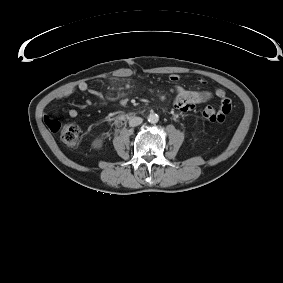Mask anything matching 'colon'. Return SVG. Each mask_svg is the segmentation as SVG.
<instances>
[{
    "label": "colon",
    "mask_w": 283,
    "mask_h": 283,
    "mask_svg": "<svg viewBox=\"0 0 283 283\" xmlns=\"http://www.w3.org/2000/svg\"><path fill=\"white\" fill-rule=\"evenodd\" d=\"M231 110L229 101H225L223 106L216 108L214 106H207L203 110V116L206 120L213 123H221ZM45 124L52 132H58L61 141L69 146L77 145L80 136V129L74 124H61L59 121L51 119L48 116L44 118Z\"/></svg>",
    "instance_id": "5ec220e1"
}]
</instances>
